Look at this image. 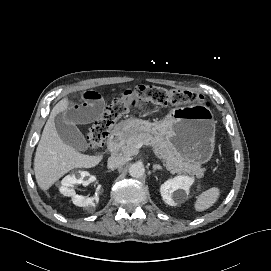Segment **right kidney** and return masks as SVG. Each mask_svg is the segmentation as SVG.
<instances>
[{
	"label": "right kidney",
	"instance_id": "ca27d5eb",
	"mask_svg": "<svg viewBox=\"0 0 271 271\" xmlns=\"http://www.w3.org/2000/svg\"><path fill=\"white\" fill-rule=\"evenodd\" d=\"M78 175V177H77ZM90 176L87 171H79L77 174L67 175L61 181V186L59 188L60 192L64 196H71L72 201L76 206L86 207V206H95L96 203L99 201V189L97 194L94 197H84L81 195L76 194L75 190L73 189L74 185L77 183H82L83 185L89 184L88 180H84L85 177Z\"/></svg>",
	"mask_w": 271,
	"mask_h": 271
}]
</instances>
